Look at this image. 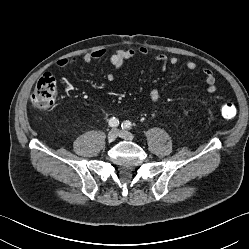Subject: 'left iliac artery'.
<instances>
[{
	"mask_svg": "<svg viewBox=\"0 0 249 249\" xmlns=\"http://www.w3.org/2000/svg\"><path fill=\"white\" fill-rule=\"evenodd\" d=\"M121 127H122L123 129H130V128H131V122L128 121V120H126V121H124V122L122 123Z\"/></svg>",
	"mask_w": 249,
	"mask_h": 249,
	"instance_id": "1",
	"label": "left iliac artery"
}]
</instances>
